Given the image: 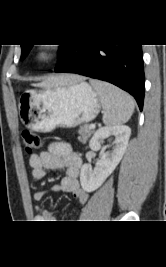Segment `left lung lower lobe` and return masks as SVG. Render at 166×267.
Segmentation results:
<instances>
[{
    "mask_svg": "<svg viewBox=\"0 0 166 267\" xmlns=\"http://www.w3.org/2000/svg\"><path fill=\"white\" fill-rule=\"evenodd\" d=\"M55 72L77 73L110 82L143 108L145 79L141 45L69 44Z\"/></svg>",
    "mask_w": 166,
    "mask_h": 267,
    "instance_id": "1",
    "label": "left lung lower lobe"
}]
</instances>
